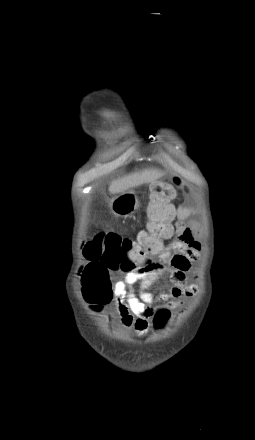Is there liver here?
I'll return each mask as SVG.
<instances>
[{
	"instance_id": "obj_1",
	"label": "liver",
	"mask_w": 255,
	"mask_h": 440,
	"mask_svg": "<svg viewBox=\"0 0 255 440\" xmlns=\"http://www.w3.org/2000/svg\"><path fill=\"white\" fill-rule=\"evenodd\" d=\"M163 175L164 173L157 169L143 170L112 181L108 190L111 194L123 193L144 183L154 182Z\"/></svg>"
}]
</instances>
